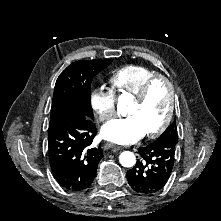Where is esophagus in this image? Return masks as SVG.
Here are the masks:
<instances>
[{
	"label": "esophagus",
	"instance_id": "34e87169",
	"mask_svg": "<svg viewBox=\"0 0 221 221\" xmlns=\"http://www.w3.org/2000/svg\"><path fill=\"white\" fill-rule=\"evenodd\" d=\"M102 148L104 149V150H109V149H120V147L118 146V145H115V144H113V143H111V142H107V143H105L103 146H102Z\"/></svg>",
	"mask_w": 221,
	"mask_h": 221
}]
</instances>
